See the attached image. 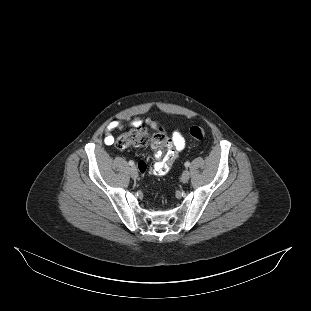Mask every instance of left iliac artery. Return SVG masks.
Instances as JSON below:
<instances>
[{
    "label": "left iliac artery",
    "instance_id": "44dca946",
    "mask_svg": "<svg viewBox=\"0 0 311 311\" xmlns=\"http://www.w3.org/2000/svg\"><path fill=\"white\" fill-rule=\"evenodd\" d=\"M184 165H185V167H189L190 166V162L187 161V162H185Z\"/></svg>",
    "mask_w": 311,
    "mask_h": 311
}]
</instances>
